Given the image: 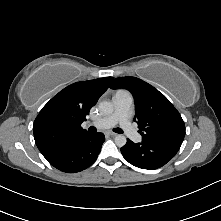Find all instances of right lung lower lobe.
<instances>
[{"label":"right lung lower lobe","instance_id":"98d812e1","mask_svg":"<svg viewBox=\"0 0 221 221\" xmlns=\"http://www.w3.org/2000/svg\"><path fill=\"white\" fill-rule=\"evenodd\" d=\"M105 140L103 133H84L60 143L45 156L55 168L66 173L82 171L95 162Z\"/></svg>","mask_w":221,"mask_h":221}]
</instances>
